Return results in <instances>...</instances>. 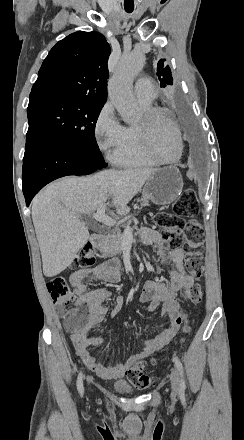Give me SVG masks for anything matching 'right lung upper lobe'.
Masks as SVG:
<instances>
[{
  "label": "right lung upper lobe",
  "mask_w": 244,
  "mask_h": 440,
  "mask_svg": "<svg viewBox=\"0 0 244 440\" xmlns=\"http://www.w3.org/2000/svg\"><path fill=\"white\" fill-rule=\"evenodd\" d=\"M110 53L109 44L98 32L70 34L59 41L44 60L29 100L106 101Z\"/></svg>",
  "instance_id": "cb5924a9"
}]
</instances>
